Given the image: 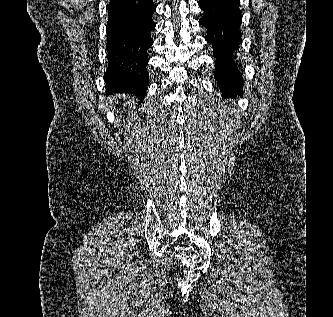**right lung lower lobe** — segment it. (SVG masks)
Masks as SVG:
<instances>
[{
    "label": "right lung lower lobe",
    "mask_w": 333,
    "mask_h": 317,
    "mask_svg": "<svg viewBox=\"0 0 333 317\" xmlns=\"http://www.w3.org/2000/svg\"><path fill=\"white\" fill-rule=\"evenodd\" d=\"M108 69L106 92L135 94L143 99L149 86L147 50L156 6L153 0H110L107 7Z\"/></svg>",
    "instance_id": "right-lung-lower-lobe-1"
}]
</instances>
